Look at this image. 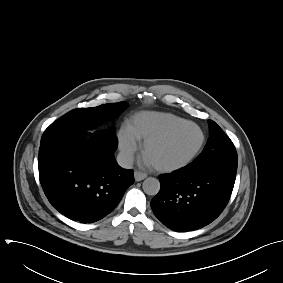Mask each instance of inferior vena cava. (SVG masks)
<instances>
[{
  "mask_svg": "<svg viewBox=\"0 0 283 283\" xmlns=\"http://www.w3.org/2000/svg\"><path fill=\"white\" fill-rule=\"evenodd\" d=\"M133 155L128 152H120L117 155V162L122 168L130 169L133 166Z\"/></svg>",
  "mask_w": 283,
  "mask_h": 283,
  "instance_id": "inferior-vena-cava-1",
  "label": "inferior vena cava"
}]
</instances>
